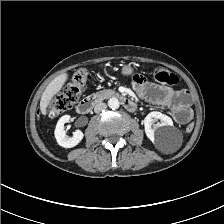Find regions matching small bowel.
<instances>
[{"label":"small bowel","instance_id":"small-bowel-1","mask_svg":"<svg viewBox=\"0 0 224 224\" xmlns=\"http://www.w3.org/2000/svg\"><path fill=\"white\" fill-rule=\"evenodd\" d=\"M133 87L137 94L149 103L171 108L178 123L183 124L188 121L189 106L193 99L190 92L163 87L147 81L142 76L134 77ZM184 113H187L188 117H182Z\"/></svg>","mask_w":224,"mask_h":224}]
</instances>
